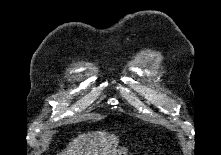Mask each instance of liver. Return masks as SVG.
<instances>
[{
  "label": "liver",
  "instance_id": "liver-1",
  "mask_svg": "<svg viewBox=\"0 0 221 155\" xmlns=\"http://www.w3.org/2000/svg\"><path fill=\"white\" fill-rule=\"evenodd\" d=\"M119 138L105 131L78 135L60 155H113Z\"/></svg>",
  "mask_w": 221,
  "mask_h": 155
}]
</instances>
